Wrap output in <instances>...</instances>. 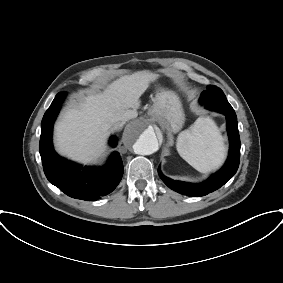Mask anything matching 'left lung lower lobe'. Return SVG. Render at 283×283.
I'll use <instances>...</instances> for the list:
<instances>
[{
    "label": "left lung lower lobe",
    "mask_w": 283,
    "mask_h": 283,
    "mask_svg": "<svg viewBox=\"0 0 283 283\" xmlns=\"http://www.w3.org/2000/svg\"><path fill=\"white\" fill-rule=\"evenodd\" d=\"M200 103L206 108L220 112L226 116L227 131L230 142L229 156L224 166L205 182L191 184L172 180L162 174L160 167L158 173L163 182L174 191L186 196L200 197L205 196L227 183L236 173L240 162V137L237 125V117L234 109L226 100H212L204 91L200 96Z\"/></svg>",
    "instance_id": "obj_1"
}]
</instances>
